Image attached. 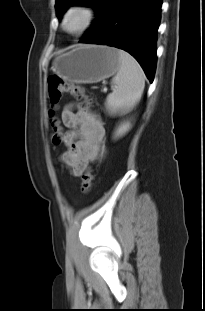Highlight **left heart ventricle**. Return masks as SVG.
Returning <instances> with one entry per match:
<instances>
[{"mask_svg":"<svg viewBox=\"0 0 205 311\" xmlns=\"http://www.w3.org/2000/svg\"><path fill=\"white\" fill-rule=\"evenodd\" d=\"M84 22V13L81 11H74L69 15L66 27L69 31H76L83 26Z\"/></svg>","mask_w":205,"mask_h":311,"instance_id":"left-heart-ventricle-1","label":"left heart ventricle"}]
</instances>
